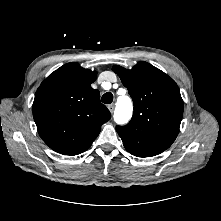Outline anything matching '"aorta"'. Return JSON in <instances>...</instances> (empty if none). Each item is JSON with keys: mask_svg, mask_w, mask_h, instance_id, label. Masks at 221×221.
<instances>
[{"mask_svg": "<svg viewBox=\"0 0 221 221\" xmlns=\"http://www.w3.org/2000/svg\"><path fill=\"white\" fill-rule=\"evenodd\" d=\"M133 106L131 99L127 96H121L117 99L114 120L118 124L127 123L132 116Z\"/></svg>", "mask_w": 221, "mask_h": 221, "instance_id": "obj_1", "label": "aorta"}]
</instances>
